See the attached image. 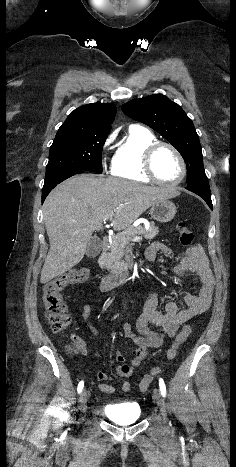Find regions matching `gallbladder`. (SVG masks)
<instances>
[{"mask_svg": "<svg viewBox=\"0 0 236 467\" xmlns=\"http://www.w3.org/2000/svg\"><path fill=\"white\" fill-rule=\"evenodd\" d=\"M101 250H102V241L97 237H93L89 241L85 253L88 257L94 258L100 254Z\"/></svg>", "mask_w": 236, "mask_h": 467, "instance_id": "obj_1", "label": "gallbladder"}]
</instances>
